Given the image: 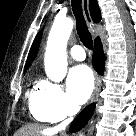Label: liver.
I'll return each instance as SVG.
<instances>
[{
	"label": "liver",
	"instance_id": "6515ba94",
	"mask_svg": "<svg viewBox=\"0 0 136 136\" xmlns=\"http://www.w3.org/2000/svg\"><path fill=\"white\" fill-rule=\"evenodd\" d=\"M57 131L55 128H45L39 124H29L20 128L15 136H54Z\"/></svg>",
	"mask_w": 136,
	"mask_h": 136
}]
</instances>
